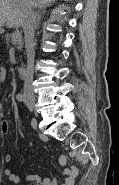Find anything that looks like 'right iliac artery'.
I'll return each mask as SVG.
<instances>
[{"mask_svg": "<svg viewBox=\"0 0 119 185\" xmlns=\"http://www.w3.org/2000/svg\"><path fill=\"white\" fill-rule=\"evenodd\" d=\"M16 99L20 102L24 101V97L22 94H17Z\"/></svg>", "mask_w": 119, "mask_h": 185, "instance_id": "right-iliac-artery-1", "label": "right iliac artery"}]
</instances>
